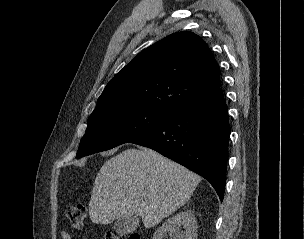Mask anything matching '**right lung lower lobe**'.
<instances>
[{
    "label": "right lung lower lobe",
    "instance_id": "1",
    "mask_svg": "<svg viewBox=\"0 0 304 239\" xmlns=\"http://www.w3.org/2000/svg\"><path fill=\"white\" fill-rule=\"evenodd\" d=\"M229 136L228 109L219 87L129 143L151 148L198 173L214 187L222 201Z\"/></svg>",
    "mask_w": 304,
    "mask_h": 239
}]
</instances>
